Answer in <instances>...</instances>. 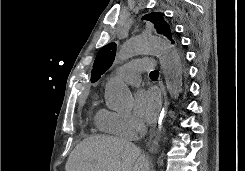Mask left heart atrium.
Instances as JSON below:
<instances>
[{"mask_svg":"<svg viewBox=\"0 0 245 171\" xmlns=\"http://www.w3.org/2000/svg\"><path fill=\"white\" fill-rule=\"evenodd\" d=\"M161 101L156 90L140 89L135 94L134 111L138 118L145 122L155 120L160 111Z\"/></svg>","mask_w":245,"mask_h":171,"instance_id":"left-heart-atrium-1","label":"left heart atrium"}]
</instances>
